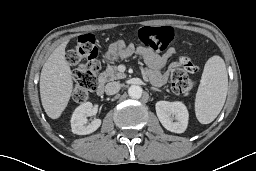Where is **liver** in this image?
<instances>
[{"instance_id":"obj_1","label":"liver","mask_w":256,"mask_h":171,"mask_svg":"<svg viewBox=\"0 0 256 171\" xmlns=\"http://www.w3.org/2000/svg\"><path fill=\"white\" fill-rule=\"evenodd\" d=\"M67 41L60 44L44 63L40 75L42 106L51 119H58L70 100L73 81L65 58Z\"/></svg>"}]
</instances>
